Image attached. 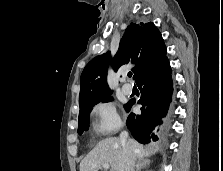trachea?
Wrapping results in <instances>:
<instances>
[{"mask_svg":"<svg viewBox=\"0 0 223 171\" xmlns=\"http://www.w3.org/2000/svg\"><path fill=\"white\" fill-rule=\"evenodd\" d=\"M128 77H129V78L132 77V73H131V72L128 73Z\"/></svg>","mask_w":223,"mask_h":171,"instance_id":"trachea-1","label":"trachea"}]
</instances>
